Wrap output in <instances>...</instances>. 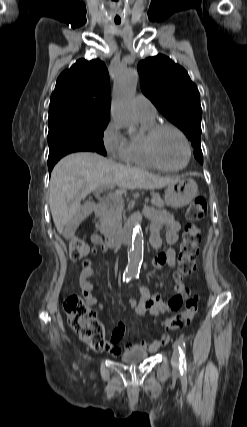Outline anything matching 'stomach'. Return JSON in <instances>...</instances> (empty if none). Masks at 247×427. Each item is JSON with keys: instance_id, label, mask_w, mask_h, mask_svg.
Here are the masks:
<instances>
[{"instance_id": "stomach-1", "label": "stomach", "mask_w": 247, "mask_h": 427, "mask_svg": "<svg viewBox=\"0 0 247 427\" xmlns=\"http://www.w3.org/2000/svg\"><path fill=\"white\" fill-rule=\"evenodd\" d=\"M198 194V186L192 178H177L165 190V202L171 207L180 208L188 205Z\"/></svg>"}]
</instances>
